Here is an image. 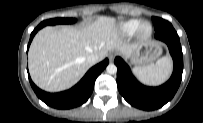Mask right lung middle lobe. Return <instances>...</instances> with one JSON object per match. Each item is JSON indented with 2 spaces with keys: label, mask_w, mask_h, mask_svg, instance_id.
Here are the masks:
<instances>
[{
  "label": "right lung middle lobe",
  "mask_w": 203,
  "mask_h": 123,
  "mask_svg": "<svg viewBox=\"0 0 203 123\" xmlns=\"http://www.w3.org/2000/svg\"><path fill=\"white\" fill-rule=\"evenodd\" d=\"M74 22H76V19H73V18H54V19L45 20L41 22L39 25L41 27H44L46 25L69 24Z\"/></svg>",
  "instance_id": "right-lung-middle-lobe-1"
}]
</instances>
